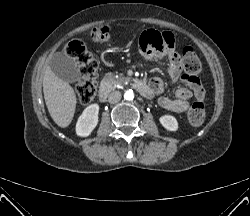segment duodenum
Wrapping results in <instances>:
<instances>
[{
  "label": "duodenum",
  "mask_w": 250,
  "mask_h": 216,
  "mask_svg": "<svg viewBox=\"0 0 250 216\" xmlns=\"http://www.w3.org/2000/svg\"><path fill=\"white\" fill-rule=\"evenodd\" d=\"M130 85L135 88L144 97H150L152 95L149 84L140 79H134L130 81ZM111 92V87L107 84H102L99 89V99L104 102L108 98Z\"/></svg>",
  "instance_id": "duodenum-1"
}]
</instances>
